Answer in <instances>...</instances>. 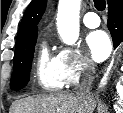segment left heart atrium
Listing matches in <instances>:
<instances>
[{
	"label": "left heart atrium",
	"mask_w": 123,
	"mask_h": 113,
	"mask_svg": "<svg viewBox=\"0 0 123 113\" xmlns=\"http://www.w3.org/2000/svg\"><path fill=\"white\" fill-rule=\"evenodd\" d=\"M86 42L94 60L102 61L109 56L111 52V42L104 31L98 30L90 33Z\"/></svg>",
	"instance_id": "1"
}]
</instances>
